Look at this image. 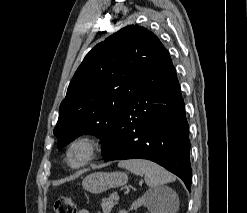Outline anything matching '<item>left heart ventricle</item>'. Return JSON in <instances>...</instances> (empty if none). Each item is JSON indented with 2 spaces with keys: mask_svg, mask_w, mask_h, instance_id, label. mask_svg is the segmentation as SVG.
<instances>
[{
  "mask_svg": "<svg viewBox=\"0 0 247 213\" xmlns=\"http://www.w3.org/2000/svg\"><path fill=\"white\" fill-rule=\"evenodd\" d=\"M83 152L82 150H76L72 154V159L74 162H78L82 158Z\"/></svg>",
  "mask_w": 247,
  "mask_h": 213,
  "instance_id": "left-heart-ventricle-1",
  "label": "left heart ventricle"
}]
</instances>
